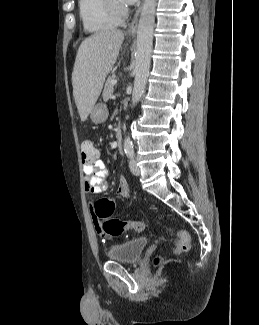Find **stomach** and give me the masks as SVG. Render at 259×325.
I'll return each instance as SVG.
<instances>
[{
	"label": "stomach",
	"instance_id": "0dacf381",
	"mask_svg": "<svg viewBox=\"0 0 259 325\" xmlns=\"http://www.w3.org/2000/svg\"><path fill=\"white\" fill-rule=\"evenodd\" d=\"M107 117H108V111L105 104L98 103L93 107L90 115V118L93 123L95 124L102 123L107 119Z\"/></svg>",
	"mask_w": 259,
	"mask_h": 325
}]
</instances>
